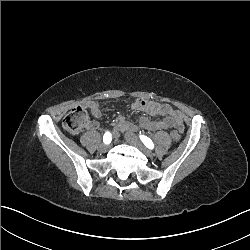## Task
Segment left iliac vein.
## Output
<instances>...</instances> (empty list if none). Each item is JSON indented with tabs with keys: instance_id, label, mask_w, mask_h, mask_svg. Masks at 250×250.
Returning a JSON list of instances; mask_svg holds the SVG:
<instances>
[{
	"instance_id": "obj_1",
	"label": "left iliac vein",
	"mask_w": 250,
	"mask_h": 250,
	"mask_svg": "<svg viewBox=\"0 0 250 250\" xmlns=\"http://www.w3.org/2000/svg\"><path fill=\"white\" fill-rule=\"evenodd\" d=\"M125 130V138L130 144L139 148L145 156H153L152 152L135 135L131 134L127 128Z\"/></svg>"
}]
</instances>
